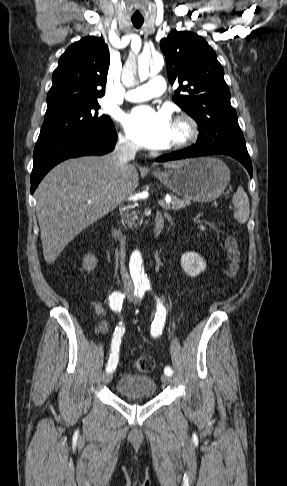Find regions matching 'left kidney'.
I'll return each mask as SVG.
<instances>
[{"label":"left kidney","mask_w":287,"mask_h":486,"mask_svg":"<svg viewBox=\"0 0 287 486\" xmlns=\"http://www.w3.org/2000/svg\"><path fill=\"white\" fill-rule=\"evenodd\" d=\"M180 264L183 271L190 277H196L206 269L204 259L195 252L184 253L181 257Z\"/></svg>","instance_id":"5707ae66"}]
</instances>
